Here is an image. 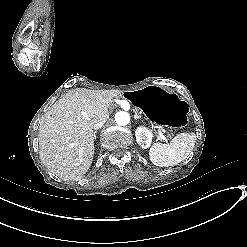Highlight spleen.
<instances>
[{"label":"spleen","mask_w":247,"mask_h":247,"mask_svg":"<svg viewBox=\"0 0 247 247\" xmlns=\"http://www.w3.org/2000/svg\"><path fill=\"white\" fill-rule=\"evenodd\" d=\"M195 133H180L169 144L155 143L149 151L150 161L159 167H168L182 162L193 150Z\"/></svg>","instance_id":"1"}]
</instances>
